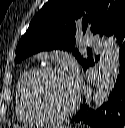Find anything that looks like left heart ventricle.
<instances>
[{
    "label": "left heart ventricle",
    "mask_w": 125,
    "mask_h": 128,
    "mask_svg": "<svg viewBox=\"0 0 125 128\" xmlns=\"http://www.w3.org/2000/svg\"><path fill=\"white\" fill-rule=\"evenodd\" d=\"M67 75H53L43 80L38 87V97L44 107L58 113L68 109L76 98Z\"/></svg>",
    "instance_id": "b2bd125f"
}]
</instances>
